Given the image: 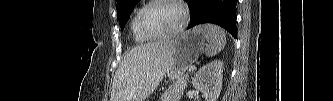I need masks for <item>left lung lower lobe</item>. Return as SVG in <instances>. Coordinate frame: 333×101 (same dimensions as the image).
<instances>
[{"instance_id": "1", "label": "left lung lower lobe", "mask_w": 333, "mask_h": 101, "mask_svg": "<svg viewBox=\"0 0 333 101\" xmlns=\"http://www.w3.org/2000/svg\"><path fill=\"white\" fill-rule=\"evenodd\" d=\"M191 13L187 29L202 23L217 24L237 37L236 4L238 0H187Z\"/></svg>"}]
</instances>
